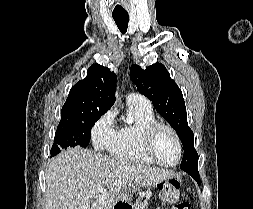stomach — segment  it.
<instances>
[{"label": "stomach", "instance_id": "stomach-1", "mask_svg": "<svg viewBox=\"0 0 253 209\" xmlns=\"http://www.w3.org/2000/svg\"><path fill=\"white\" fill-rule=\"evenodd\" d=\"M145 181H121V188L119 196H115V203L111 209H135L132 206V191L131 190H146ZM149 186H156V181H149ZM155 187V192H162V198L166 199L167 189L169 187L168 181H162Z\"/></svg>", "mask_w": 253, "mask_h": 209}]
</instances>
